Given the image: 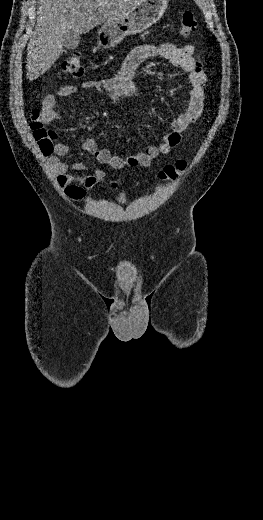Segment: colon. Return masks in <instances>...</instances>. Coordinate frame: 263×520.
<instances>
[{"mask_svg": "<svg viewBox=\"0 0 263 520\" xmlns=\"http://www.w3.org/2000/svg\"><path fill=\"white\" fill-rule=\"evenodd\" d=\"M198 23L195 14L192 11H185L180 20V29L183 35H190L197 30ZM61 71L73 78H79L84 73L82 59L79 53H72L61 65ZM31 129L40 150L46 156L50 155L54 149L56 134L53 130L47 128L40 120L37 110L33 111ZM187 168L185 160H177L173 164L164 166L159 172V178L164 181H173L182 175ZM116 186L117 183L113 182Z\"/></svg>", "mask_w": 263, "mask_h": 520, "instance_id": "1", "label": "colon"}]
</instances>
